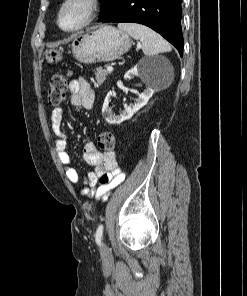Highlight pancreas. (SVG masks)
Returning a JSON list of instances; mask_svg holds the SVG:
<instances>
[{"label": "pancreas", "mask_w": 247, "mask_h": 296, "mask_svg": "<svg viewBox=\"0 0 247 296\" xmlns=\"http://www.w3.org/2000/svg\"><path fill=\"white\" fill-rule=\"evenodd\" d=\"M110 72H108L106 69H103L102 67H98L95 70V77L98 84H103L106 80V77L108 76Z\"/></svg>", "instance_id": "obj_1"}]
</instances>
